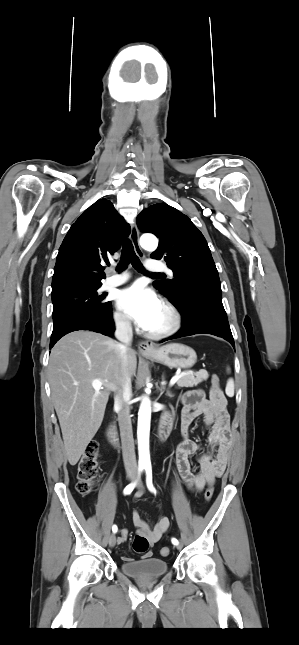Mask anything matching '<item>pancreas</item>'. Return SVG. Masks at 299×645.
Instances as JSON below:
<instances>
[{
    "label": "pancreas",
    "mask_w": 299,
    "mask_h": 645,
    "mask_svg": "<svg viewBox=\"0 0 299 645\" xmlns=\"http://www.w3.org/2000/svg\"><path fill=\"white\" fill-rule=\"evenodd\" d=\"M209 377L206 370H200L196 373H187L177 381L178 387H194Z\"/></svg>",
    "instance_id": "cf45deb5"
}]
</instances>
